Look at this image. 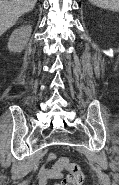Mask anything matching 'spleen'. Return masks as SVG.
<instances>
[{
	"mask_svg": "<svg viewBox=\"0 0 119 185\" xmlns=\"http://www.w3.org/2000/svg\"><path fill=\"white\" fill-rule=\"evenodd\" d=\"M92 4L97 7L108 9L111 11H119V0H89Z\"/></svg>",
	"mask_w": 119,
	"mask_h": 185,
	"instance_id": "3e777b00",
	"label": "spleen"
}]
</instances>
